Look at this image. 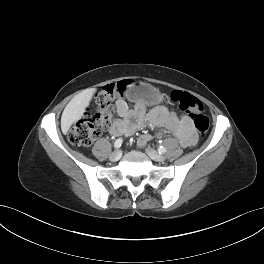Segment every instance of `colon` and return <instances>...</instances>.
<instances>
[{"label": "colon", "instance_id": "obj_1", "mask_svg": "<svg viewBox=\"0 0 264 264\" xmlns=\"http://www.w3.org/2000/svg\"><path fill=\"white\" fill-rule=\"evenodd\" d=\"M127 82L122 81L106 86L96 96L97 112L85 113L76 121L68 132L69 141L76 146H88L100 134L101 127L107 125L114 115L112 99L124 95ZM173 102L188 113L200 135H205L209 128V119L204 115L201 101L190 93L173 91Z\"/></svg>", "mask_w": 264, "mask_h": 264}]
</instances>
